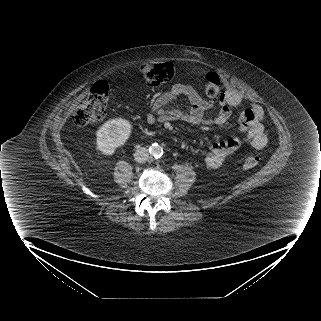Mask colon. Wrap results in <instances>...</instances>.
<instances>
[{
  "label": "colon",
  "mask_w": 321,
  "mask_h": 321,
  "mask_svg": "<svg viewBox=\"0 0 321 321\" xmlns=\"http://www.w3.org/2000/svg\"><path fill=\"white\" fill-rule=\"evenodd\" d=\"M141 75L150 86H157L170 81L175 73L171 63H154L142 67ZM204 91L209 97H216L221 92V81L217 73L208 72L205 77ZM110 97V87L105 81L96 82L87 96L81 101L75 110L73 121L83 127L90 123L100 121L105 113V108ZM260 159L256 155L246 156L242 166L244 169H254L258 166Z\"/></svg>",
  "instance_id": "colon-1"
}]
</instances>
